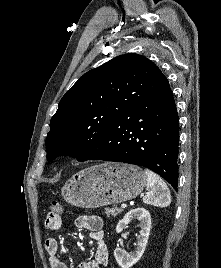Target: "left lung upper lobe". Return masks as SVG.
I'll use <instances>...</instances> for the list:
<instances>
[{
    "label": "left lung upper lobe",
    "instance_id": "5c2ea615",
    "mask_svg": "<svg viewBox=\"0 0 221 268\" xmlns=\"http://www.w3.org/2000/svg\"><path fill=\"white\" fill-rule=\"evenodd\" d=\"M169 85L147 58L124 54L85 73L68 90L50 121L47 159L93 156L111 125L124 113Z\"/></svg>",
    "mask_w": 221,
    "mask_h": 268
}]
</instances>
